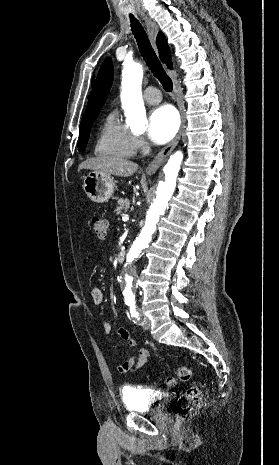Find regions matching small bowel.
<instances>
[{
    "label": "small bowel",
    "instance_id": "small-bowel-1",
    "mask_svg": "<svg viewBox=\"0 0 279 465\" xmlns=\"http://www.w3.org/2000/svg\"><path fill=\"white\" fill-rule=\"evenodd\" d=\"M91 298L92 302L95 305H100L103 302L104 295L100 288L93 287L91 290ZM102 328L104 333L110 334L112 331V326L109 321H102ZM118 335L127 342L129 347H136L137 341L131 336L128 330L124 328H120L118 330ZM150 352L147 348H139L136 351V354L130 356L128 359L120 362L117 366V370L120 373H131L135 372L136 370L140 369L149 359Z\"/></svg>",
    "mask_w": 279,
    "mask_h": 465
}]
</instances>
